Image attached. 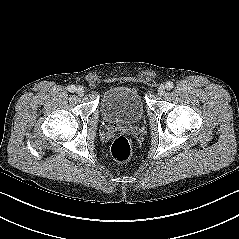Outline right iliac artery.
I'll return each instance as SVG.
<instances>
[{"label":"right iliac artery","instance_id":"82829eb1","mask_svg":"<svg viewBox=\"0 0 239 239\" xmlns=\"http://www.w3.org/2000/svg\"><path fill=\"white\" fill-rule=\"evenodd\" d=\"M67 89H68L69 92H75L76 87H75V85H70V86H68Z\"/></svg>","mask_w":239,"mask_h":239}]
</instances>
